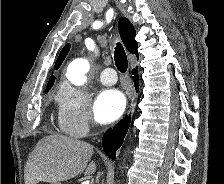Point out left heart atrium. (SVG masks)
Instances as JSON below:
<instances>
[{"label": "left heart atrium", "mask_w": 224, "mask_h": 184, "mask_svg": "<svg viewBox=\"0 0 224 184\" xmlns=\"http://www.w3.org/2000/svg\"><path fill=\"white\" fill-rule=\"evenodd\" d=\"M126 106L123 94L115 89L101 92L95 101L94 114L100 123L107 124L118 119Z\"/></svg>", "instance_id": "39dd6f15"}]
</instances>
